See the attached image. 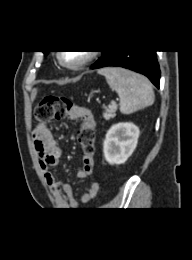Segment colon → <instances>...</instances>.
Here are the masks:
<instances>
[{
  "mask_svg": "<svg viewBox=\"0 0 192 260\" xmlns=\"http://www.w3.org/2000/svg\"><path fill=\"white\" fill-rule=\"evenodd\" d=\"M89 110L75 105L71 100L61 96H46L34 110V120L38 124H44L53 119L79 117L81 127L77 131V137L83 147L84 156L91 157L94 154L95 131L89 121Z\"/></svg>",
  "mask_w": 192,
  "mask_h": 260,
  "instance_id": "1",
  "label": "colon"
}]
</instances>
